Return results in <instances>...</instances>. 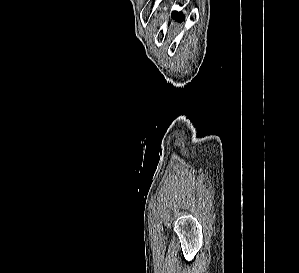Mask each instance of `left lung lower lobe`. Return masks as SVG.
Wrapping results in <instances>:
<instances>
[{
    "instance_id": "0a47b994",
    "label": "left lung lower lobe",
    "mask_w": 299,
    "mask_h": 273,
    "mask_svg": "<svg viewBox=\"0 0 299 273\" xmlns=\"http://www.w3.org/2000/svg\"><path fill=\"white\" fill-rule=\"evenodd\" d=\"M172 17L175 18V20H178V21H184L185 20V17L183 16V14L181 12L174 11L172 13Z\"/></svg>"
}]
</instances>
